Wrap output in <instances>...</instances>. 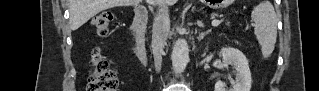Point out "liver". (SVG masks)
Segmentation results:
<instances>
[{
	"instance_id": "6515ba94",
	"label": "liver",
	"mask_w": 319,
	"mask_h": 91,
	"mask_svg": "<svg viewBox=\"0 0 319 91\" xmlns=\"http://www.w3.org/2000/svg\"><path fill=\"white\" fill-rule=\"evenodd\" d=\"M166 5H173L177 0H155ZM142 0H70V25L77 30L98 13L117 6H131L141 3Z\"/></svg>"
}]
</instances>
